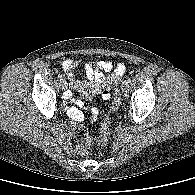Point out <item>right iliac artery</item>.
I'll list each match as a JSON object with an SVG mask.
<instances>
[{
  "label": "right iliac artery",
  "instance_id": "right-iliac-artery-1",
  "mask_svg": "<svg viewBox=\"0 0 195 195\" xmlns=\"http://www.w3.org/2000/svg\"><path fill=\"white\" fill-rule=\"evenodd\" d=\"M58 77L60 78V80H62V79H63L62 74H59V75H58Z\"/></svg>",
  "mask_w": 195,
  "mask_h": 195
}]
</instances>
